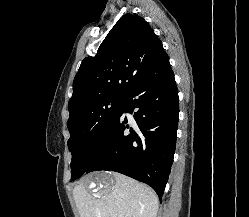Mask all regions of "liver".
Listing matches in <instances>:
<instances>
[{
    "label": "liver",
    "mask_w": 249,
    "mask_h": 217,
    "mask_svg": "<svg viewBox=\"0 0 249 217\" xmlns=\"http://www.w3.org/2000/svg\"><path fill=\"white\" fill-rule=\"evenodd\" d=\"M95 184L92 193L90 185ZM80 217H156L159 201L155 192L116 172L89 175L73 189Z\"/></svg>",
    "instance_id": "6515ba94"
}]
</instances>
